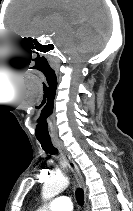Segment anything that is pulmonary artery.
Returning <instances> with one entry per match:
<instances>
[{"mask_svg":"<svg viewBox=\"0 0 133 211\" xmlns=\"http://www.w3.org/2000/svg\"><path fill=\"white\" fill-rule=\"evenodd\" d=\"M72 209L73 206L70 198L67 196H59L48 204L45 211H72Z\"/></svg>","mask_w":133,"mask_h":211,"instance_id":"e3ab8cb5","label":"pulmonary artery"}]
</instances>
